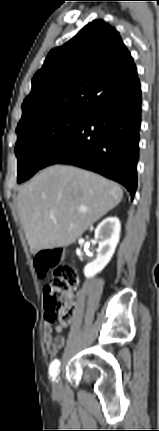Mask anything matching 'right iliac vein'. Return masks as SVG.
Wrapping results in <instances>:
<instances>
[{"mask_svg":"<svg viewBox=\"0 0 159 431\" xmlns=\"http://www.w3.org/2000/svg\"><path fill=\"white\" fill-rule=\"evenodd\" d=\"M53 389L55 392H59L61 389L60 379L59 377L54 381Z\"/></svg>","mask_w":159,"mask_h":431,"instance_id":"1","label":"right iliac vein"}]
</instances>
